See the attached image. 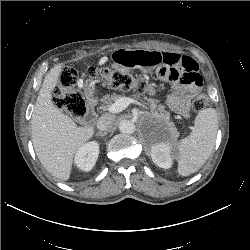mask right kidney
Wrapping results in <instances>:
<instances>
[{"label":"right kidney","instance_id":"1","mask_svg":"<svg viewBox=\"0 0 250 250\" xmlns=\"http://www.w3.org/2000/svg\"><path fill=\"white\" fill-rule=\"evenodd\" d=\"M99 155V144L96 141L82 145L76 152L74 163L83 171H90Z\"/></svg>","mask_w":250,"mask_h":250}]
</instances>
